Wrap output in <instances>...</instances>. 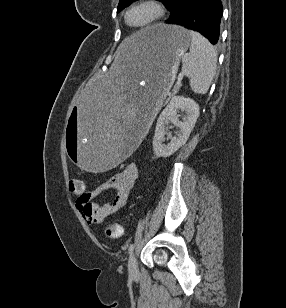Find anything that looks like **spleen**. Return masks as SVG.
<instances>
[{
    "label": "spleen",
    "mask_w": 286,
    "mask_h": 308,
    "mask_svg": "<svg viewBox=\"0 0 286 308\" xmlns=\"http://www.w3.org/2000/svg\"><path fill=\"white\" fill-rule=\"evenodd\" d=\"M191 46L183 61L182 71L194 93H207L216 71L217 55L211 43L200 33L188 31Z\"/></svg>",
    "instance_id": "obj_1"
}]
</instances>
